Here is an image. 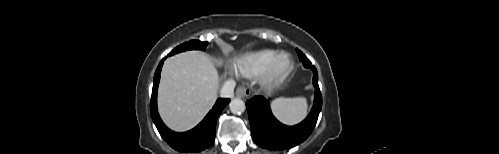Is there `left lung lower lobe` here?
<instances>
[{
    "mask_svg": "<svg viewBox=\"0 0 499 154\" xmlns=\"http://www.w3.org/2000/svg\"><path fill=\"white\" fill-rule=\"evenodd\" d=\"M304 66L313 71L315 100L311 112L300 124L295 126L281 124L273 116L269 102L262 96H255L246 102L252 138L260 147L273 150L289 149L306 140L313 131L322 108V96L316 68L310 64Z\"/></svg>",
    "mask_w": 499,
    "mask_h": 154,
    "instance_id": "1",
    "label": "left lung lower lobe"
}]
</instances>
